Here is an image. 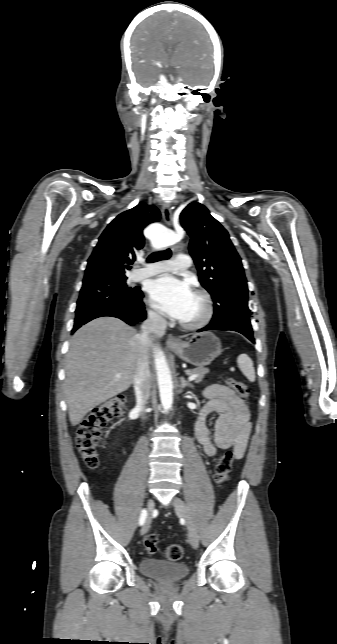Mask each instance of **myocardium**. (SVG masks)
<instances>
[{"mask_svg": "<svg viewBox=\"0 0 337 644\" xmlns=\"http://www.w3.org/2000/svg\"><path fill=\"white\" fill-rule=\"evenodd\" d=\"M194 295L201 300L203 309L201 315L197 319L192 321H180V325L189 330L205 327L210 323L214 316V302L210 293L203 288H199L194 291Z\"/></svg>", "mask_w": 337, "mask_h": 644, "instance_id": "f54148a6", "label": "myocardium"}]
</instances>
